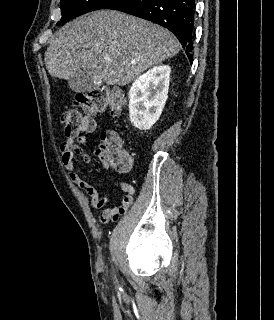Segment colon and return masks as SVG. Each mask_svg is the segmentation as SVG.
Listing matches in <instances>:
<instances>
[{
  "instance_id": "colon-1",
  "label": "colon",
  "mask_w": 274,
  "mask_h": 320,
  "mask_svg": "<svg viewBox=\"0 0 274 320\" xmlns=\"http://www.w3.org/2000/svg\"><path fill=\"white\" fill-rule=\"evenodd\" d=\"M76 107H66L61 113L64 135L84 134L86 120H94V116L109 109L116 111L122 102L118 92L113 88H94L78 94L74 101ZM123 139L116 131L101 132L97 144V153L107 159L108 165L117 171H125L131 167L132 159L124 152ZM126 199V198H123Z\"/></svg>"
}]
</instances>
